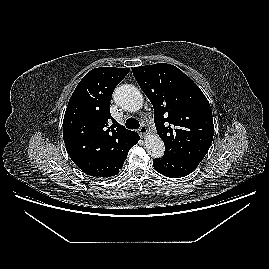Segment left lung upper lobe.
Instances as JSON below:
<instances>
[{"instance_id": "obj_1", "label": "left lung upper lobe", "mask_w": 269, "mask_h": 269, "mask_svg": "<svg viewBox=\"0 0 269 269\" xmlns=\"http://www.w3.org/2000/svg\"><path fill=\"white\" fill-rule=\"evenodd\" d=\"M132 72L153 105L164 156L201 162L212 143L214 125L200 88L171 64L135 67Z\"/></svg>"}]
</instances>
